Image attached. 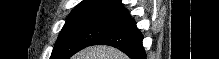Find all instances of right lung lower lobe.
<instances>
[{"instance_id":"right-lung-lower-lobe-1","label":"right lung lower lobe","mask_w":219,"mask_h":59,"mask_svg":"<svg viewBox=\"0 0 219 59\" xmlns=\"http://www.w3.org/2000/svg\"><path fill=\"white\" fill-rule=\"evenodd\" d=\"M114 12L126 16L127 20L100 37L93 45L113 46L127 54L131 59H146L142 46L143 35L137 29L135 20L130 18L128 11L121 5Z\"/></svg>"}]
</instances>
